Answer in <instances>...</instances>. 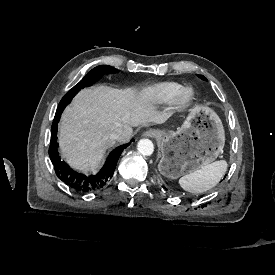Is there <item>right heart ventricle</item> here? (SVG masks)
I'll use <instances>...</instances> for the list:
<instances>
[{
  "label": "right heart ventricle",
  "instance_id": "right-heart-ventricle-1",
  "mask_svg": "<svg viewBox=\"0 0 275 275\" xmlns=\"http://www.w3.org/2000/svg\"><path fill=\"white\" fill-rule=\"evenodd\" d=\"M179 88L180 85L173 82L158 83L150 88L149 98L155 103L170 102Z\"/></svg>",
  "mask_w": 275,
  "mask_h": 275
}]
</instances>
